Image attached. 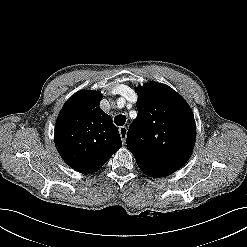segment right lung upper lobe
I'll use <instances>...</instances> for the list:
<instances>
[{
	"label": "right lung upper lobe",
	"mask_w": 247,
	"mask_h": 247,
	"mask_svg": "<svg viewBox=\"0 0 247 247\" xmlns=\"http://www.w3.org/2000/svg\"><path fill=\"white\" fill-rule=\"evenodd\" d=\"M98 91H79L62 107L55 125V145L75 171L91 173L122 146L112 118L100 108Z\"/></svg>",
	"instance_id": "1"
}]
</instances>
